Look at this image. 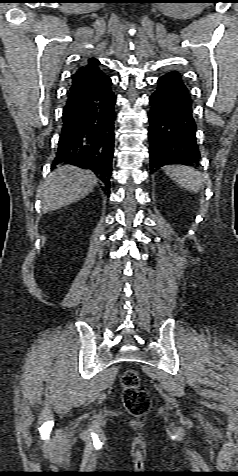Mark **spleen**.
Returning a JSON list of instances; mask_svg holds the SVG:
<instances>
[{
	"instance_id": "3e777b00",
	"label": "spleen",
	"mask_w": 238,
	"mask_h": 476,
	"mask_svg": "<svg viewBox=\"0 0 238 476\" xmlns=\"http://www.w3.org/2000/svg\"><path fill=\"white\" fill-rule=\"evenodd\" d=\"M165 173L180 187L197 193L203 187L201 173L189 166L172 165L164 167Z\"/></svg>"
}]
</instances>
